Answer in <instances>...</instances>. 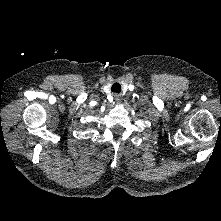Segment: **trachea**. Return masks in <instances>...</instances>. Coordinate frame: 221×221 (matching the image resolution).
<instances>
[{"label": "trachea", "mask_w": 221, "mask_h": 221, "mask_svg": "<svg viewBox=\"0 0 221 221\" xmlns=\"http://www.w3.org/2000/svg\"><path fill=\"white\" fill-rule=\"evenodd\" d=\"M111 91L114 93H120L121 92V85L119 83H114L111 87Z\"/></svg>", "instance_id": "3493384b"}]
</instances>
